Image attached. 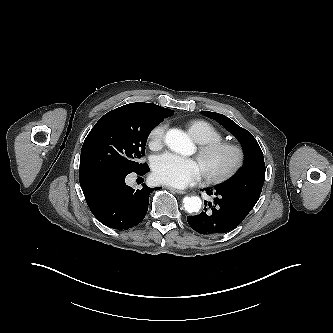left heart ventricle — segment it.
<instances>
[{"instance_id": "obj_1", "label": "left heart ventricle", "mask_w": 333, "mask_h": 333, "mask_svg": "<svg viewBox=\"0 0 333 333\" xmlns=\"http://www.w3.org/2000/svg\"><path fill=\"white\" fill-rule=\"evenodd\" d=\"M232 161V154L230 152H220L212 156L206 162H199L202 171L207 170L213 173L223 171L228 167Z\"/></svg>"}]
</instances>
